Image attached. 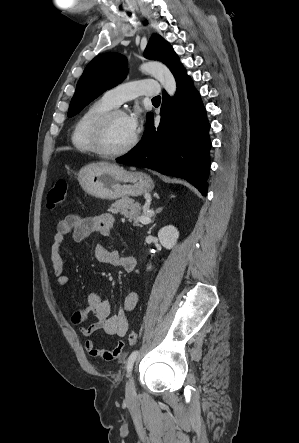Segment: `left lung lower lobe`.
Here are the masks:
<instances>
[{
  "label": "left lung lower lobe",
  "mask_w": 299,
  "mask_h": 443,
  "mask_svg": "<svg viewBox=\"0 0 299 443\" xmlns=\"http://www.w3.org/2000/svg\"><path fill=\"white\" fill-rule=\"evenodd\" d=\"M174 77L176 95L170 98L163 92L159 126H154L153 114L150 113L138 145L117 158L116 162L183 178L206 196L210 125L200 95L193 89L185 69Z\"/></svg>",
  "instance_id": "1"
}]
</instances>
